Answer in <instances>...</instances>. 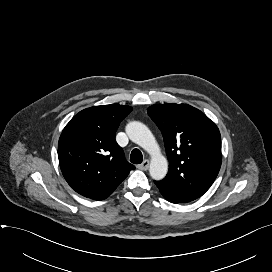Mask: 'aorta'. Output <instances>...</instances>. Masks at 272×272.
<instances>
[{
  "instance_id": "1",
  "label": "aorta",
  "mask_w": 272,
  "mask_h": 272,
  "mask_svg": "<svg viewBox=\"0 0 272 272\" xmlns=\"http://www.w3.org/2000/svg\"><path fill=\"white\" fill-rule=\"evenodd\" d=\"M126 133L131 141L151 155L149 172L152 179L162 180L168 172V162L161 154L159 145L149 128L139 121H132L127 124Z\"/></svg>"
}]
</instances>
